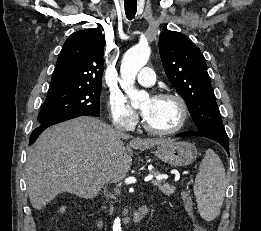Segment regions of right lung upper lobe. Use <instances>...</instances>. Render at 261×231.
Segmentation results:
<instances>
[{
    "label": "right lung upper lobe",
    "mask_w": 261,
    "mask_h": 231,
    "mask_svg": "<svg viewBox=\"0 0 261 231\" xmlns=\"http://www.w3.org/2000/svg\"><path fill=\"white\" fill-rule=\"evenodd\" d=\"M104 44L99 27L73 33L59 53L50 88L101 86Z\"/></svg>",
    "instance_id": "cb5924a9"
}]
</instances>
